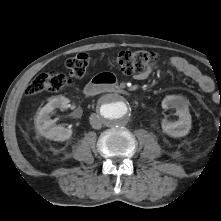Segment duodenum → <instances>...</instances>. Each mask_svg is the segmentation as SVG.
<instances>
[{
  "label": "duodenum",
  "mask_w": 221,
  "mask_h": 221,
  "mask_svg": "<svg viewBox=\"0 0 221 221\" xmlns=\"http://www.w3.org/2000/svg\"><path fill=\"white\" fill-rule=\"evenodd\" d=\"M104 91L125 92L124 88L117 85L115 80L107 75L94 77L84 88L86 96H95Z\"/></svg>",
  "instance_id": "obj_1"
}]
</instances>
